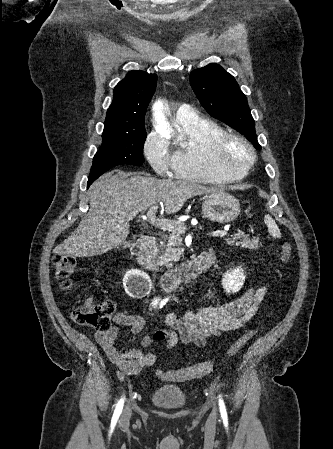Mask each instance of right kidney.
Masks as SVG:
<instances>
[{
    "instance_id": "1",
    "label": "right kidney",
    "mask_w": 333,
    "mask_h": 449,
    "mask_svg": "<svg viewBox=\"0 0 333 449\" xmlns=\"http://www.w3.org/2000/svg\"><path fill=\"white\" fill-rule=\"evenodd\" d=\"M123 287L130 297L139 298L149 293L152 288V281L145 272L131 270L123 278Z\"/></svg>"
}]
</instances>
